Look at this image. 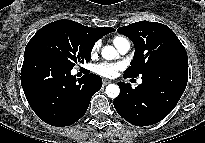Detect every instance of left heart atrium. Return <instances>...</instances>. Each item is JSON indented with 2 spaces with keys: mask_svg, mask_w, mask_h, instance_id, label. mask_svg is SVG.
I'll return each instance as SVG.
<instances>
[{
  "mask_svg": "<svg viewBox=\"0 0 205 143\" xmlns=\"http://www.w3.org/2000/svg\"><path fill=\"white\" fill-rule=\"evenodd\" d=\"M120 69H121L120 64L108 63V62L99 63L94 67V71L97 74L108 78L115 77Z\"/></svg>",
  "mask_w": 205,
  "mask_h": 143,
  "instance_id": "obj_1",
  "label": "left heart atrium"
}]
</instances>
